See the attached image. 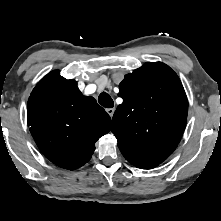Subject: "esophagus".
Wrapping results in <instances>:
<instances>
[{
	"label": "esophagus",
	"mask_w": 221,
	"mask_h": 221,
	"mask_svg": "<svg viewBox=\"0 0 221 221\" xmlns=\"http://www.w3.org/2000/svg\"><path fill=\"white\" fill-rule=\"evenodd\" d=\"M106 112L109 114L110 117H112L115 112V108H108L106 109Z\"/></svg>",
	"instance_id": "obj_1"
}]
</instances>
